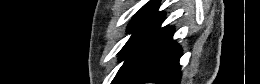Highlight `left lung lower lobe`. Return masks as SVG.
I'll return each mask as SVG.
<instances>
[{"mask_svg":"<svg viewBox=\"0 0 260 84\" xmlns=\"http://www.w3.org/2000/svg\"><path fill=\"white\" fill-rule=\"evenodd\" d=\"M157 7L124 46L120 60L125 62L113 84L180 83L182 50L172 40L173 28H160L165 16L157 12Z\"/></svg>","mask_w":260,"mask_h":84,"instance_id":"1","label":"left lung lower lobe"}]
</instances>
